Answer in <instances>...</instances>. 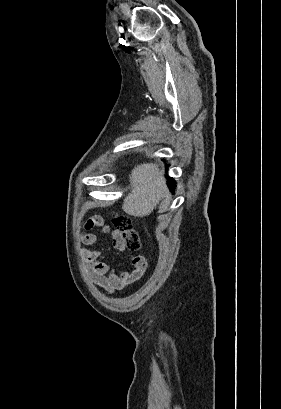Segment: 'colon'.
Instances as JSON below:
<instances>
[{
  "label": "colon",
  "instance_id": "1",
  "mask_svg": "<svg viewBox=\"0 0 281 409\" xmlns=\"http://www.w3.org/2000/svg\"><path fill=\"white\" fill-rule=\"evenodd\" d=\"M112 223L125 249H140L139 234L132 228L126 216H114Z\"/></svg>",
  "mask_w": 281,
  "mask_h": 409
}]
</instances>
